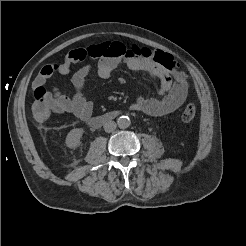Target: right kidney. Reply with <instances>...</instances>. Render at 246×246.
I'll list each match as a JSON object with an SVG mask.
<instances>
[{
	"label": "right kidney",
	"instance_id": "ca27d5eb",
	"mask_svg": "<svg viewBox=\"0 0 246 246\" xmlns=\"http://www.w3.org/2000/svg\"><path fill=\"white\" fill-rule=\"evenodd\" d=\"M83 135V130L81 128H74L72 129L66 137V146L71 149H76L80 146L81 137Z\"/></svg>",
	"mask_w": 246,
	"mask_h": 246
}]
</instances>
